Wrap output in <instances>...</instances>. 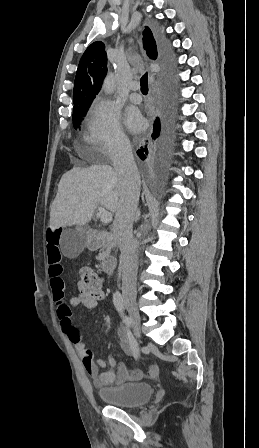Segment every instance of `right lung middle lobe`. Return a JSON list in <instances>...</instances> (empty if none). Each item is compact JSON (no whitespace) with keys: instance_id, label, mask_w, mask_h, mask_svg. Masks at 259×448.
<instances>
[{"instance_id":"obj_1","label":"right lung middle lobe","mask_w":259,"mask_h":448,"mask_svg":"<svg viewBox=\"0 0 259 448\" xmlns=\"http://www.w3.org/2000/svg\"><path fill=\"white\" fill-rule=\"evenodd\" d=\"M88 108L73 110V126L74 128H79L83 117L86 115Z\"/></svg>"}]
</instances>
